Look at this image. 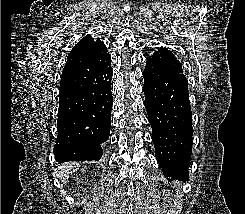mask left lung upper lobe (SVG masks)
I'll list each match as a JSON object with an SVG mask.
<instances>
[{"mask_svg":"<svg viewBox=\"0 0 245 214\" xmlns=\"http://www.w3.org/2000/svg\"><path fill=\"white\" fill-rule=\"evenodd\" d=\"M146 65H155L164 70H169L177 73H182V65L177 60L171 51L165 48H160L147 58ZM183 74V73H182Z\"/></svg>","mask_w":245,"mask_h":214,"instance_id":"1","label":"left lung upper lobe"}]
</instances>
